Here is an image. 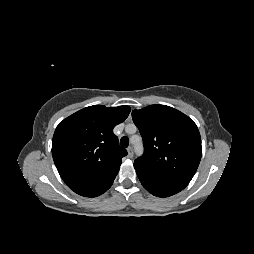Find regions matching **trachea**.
Masks as SVG:
<instances>
[{
    "instance_id": "trachea-1",
    "label": "trachea",
    "mask_w": 254,
    "mask_h": 254,
    "mask_svg": "<svg viewBox=\"0 0 254 254\" xmlns=\"http://www.w3.org/2000/svg\"><path fill=\"white\" fill-rule=\"evenodd\" d=\"M120 144L122 147L126 148L129 145V140L127 137H122L120 140Z\"/></svg>"
}]
</instances>
